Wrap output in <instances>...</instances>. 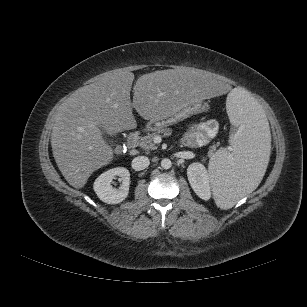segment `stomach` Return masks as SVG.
<instances>
[{"instance_id":"obj_1","label":"stomach","mask_w":307,"mask_h":307,"mask_svg":"<svg viewBox=\"0 0 307 307\" xmlns=\"http://www.w3.org/2000/svg\"><path fill=\"white\" fill-rule=\"evenodd\" d=\"M209 108L208 104L201 101L190 104L179 111L165 116H159L149 119L147 123V130L155 131L161 128H166L167 126L176 124L183 119L189 117L190 115L201 113L207 111Z\"/></svg>"}]
</instances>
